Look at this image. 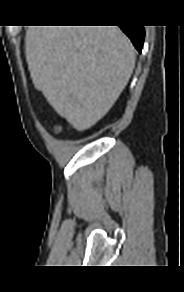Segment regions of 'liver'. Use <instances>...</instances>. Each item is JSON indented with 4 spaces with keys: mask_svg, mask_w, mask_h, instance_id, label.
Instances as JSON below:
<instances>
[{
    "mask_svg": "<svg viewBox=\"0 0 184 292\" xmlns=\"http://www.w3.org/2000/svg\"><path fill=\"white\" fill-rule=\"evenodd\" d=\"M25 53L36 89L79 131L107 114L136 61L117 26H30Z\"/></svg>",
    "mask_w": 184,
    "mask_h": 292,
    "instance_id": "1",
    "label": "liver"
}]
</instances>
